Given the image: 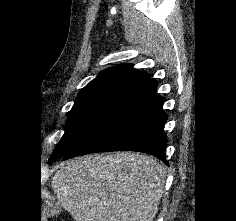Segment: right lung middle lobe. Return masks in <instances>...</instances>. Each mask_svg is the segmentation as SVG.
<instances>
[{
  "label": "right lung middle lobe",
  "mask_w": 236,
  "mask_h": 221,
  "mask_svg": "<svg viewBox=\"0 0 236 221\" xmlns=\"http://www.w3.org/2000/svg\"><path fill=\"white\" fill-rule=\"evenodd\" d=\"M134 96L135 94L129 92H110L78 97L70 111L65 133L51 155L49 163L73 150Z\"/></svg>",
  "instance_id": "1"
}]
</instances>
